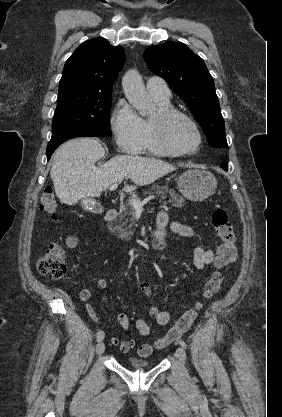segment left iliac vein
Wrapping results in <instances>:
<instances>
[{
    "label": "left iliac vein",
    "mask_w": 282,
    "mask_h": 417,
    "mask_svg": "<svg viewBox=\"0 0 282 417\" xmlns=\"http://www.w3.org/2000/svg\"><path fill=\"white\" fill-rule=\"evenodd\" d=\"M176 357L181 361V362H185L186 360V352L185 349L183 347H178L176 349V353H175Z\"/></svg>",
    "instance_id": "1"
}]
</instances>
